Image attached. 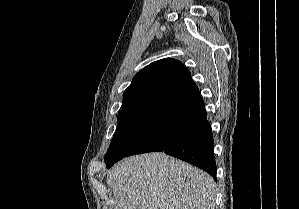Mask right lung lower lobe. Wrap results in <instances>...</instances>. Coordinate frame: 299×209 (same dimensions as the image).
<instances>
[{
	"label": "right lung lower lobe",
	"instance_id": "1",
	"mask_svg": "<svg viewBox=\"0 0 299 209\" xmlns=\"http://www.w3.org/2000/svg\"><path fill=\"white\" fill-rule=\"evenodd\" d=\"M165 152L191 163L216 180L214 141L204 101L191 81L158 105L132 139L111 160L146 152Z\"/></svg>",
	"mask_w": 299,
	"mask_h": 209
}]
</instances>
